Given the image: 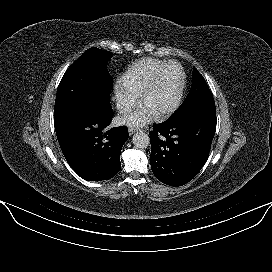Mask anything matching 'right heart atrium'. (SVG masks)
<instances>
[{
	"label": "right heart atrium",
	"mask_w": 272,
	"mask_h": 272,
	"mask_svg": "<svg viewBox=\"0 0 272 272\" xmlns=\"http://www.w3.org/2000/svg\"><path fill=\"white\" fill-rule=\"evenodd\" d=\"M139 94L126 88L121 83L115 87V101L118 110L122 113L130 111L137 103Z\"/></svg>",
	"instance_id": "right-heart-atrium-1"
}]
</instances>
